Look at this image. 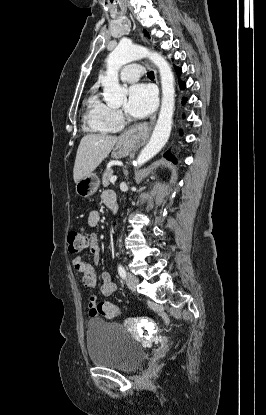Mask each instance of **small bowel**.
<instances>
[{"label":"small bowel","mask_w":266,"mask_h":415,"mask_svg":"<svg viewBox=\"0 0 266 415\" xmlns=\"http://www.w3.org/2000/svg\"><path fill=\"white\" fill-rule=\"evenodd\" d=\"M102 200L107 206L109 204H113L114 206H116V196L114 192L110 190L103 192ZM99 219H100L99 212L97 210H92L88 214L87 222L89 226L95 227L98 224ZM87 249H88L89 254L92 257L93 262L85 263L82 260L81 256L77 255L72 258V265L77 272L81 273L83 284L88 288H93L97 284L95 265L98 263L99 255H100V246L95 235H91ZM101 278L103 280V284L100 288L101 293L104 296L112 295L117 290V286L113 282L110 273L107 271H103L101 274ZM96 302H97V297L94 295L90 296L88 306H89V313L91 316L96 315L94 313Z\"/></svg>","instance_id":"obj_1"}]
</instances>
